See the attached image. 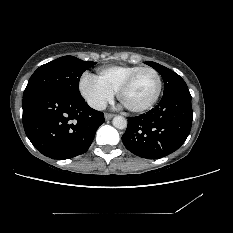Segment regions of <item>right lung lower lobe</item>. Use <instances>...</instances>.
I'll use <instances>...</instances> for the list:
<instances>
[{"mask_svg": "<svg viewBox=\"0 0 233 233\" xmlns=\"http://www.w3.org/2000/svg\"><path fill=\"white\" fill-rule=\"evenodd\" d=\"M23 126L34 147L52 159L85 153L104 114L88 106L80 95L46 90L23 97Z\"/></svg>", "mask_w": 233, "mask_h": 233, "instance_id": "obj_1", "label": "right lung lower lobe"}]
</instances>
